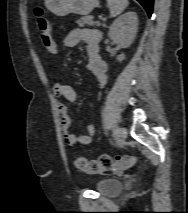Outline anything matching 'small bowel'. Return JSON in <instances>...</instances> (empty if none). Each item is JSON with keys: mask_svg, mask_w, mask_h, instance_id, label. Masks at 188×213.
<instances>
[{"mask_svg": "<svg viewBox=\"0 0 188 213\" xmlns=\"http://www.w3.org/2000/svg\"><path fill=\"white\" fill-rule=\"evenodd\" d=\"M101 34L96 29L91 28H76L70 31L63 39L64 48H72L83 42L86 45L88 55V69L97 79L99 86L103 88L107 83V64L100 56L99 44ZM53 96L57 111L61 115V127L63 139L69 146L76 143L90 144L95 133V126L89 124L86 128V133L80 136L75 135L72 130L71 118L68 115V109L62 99L68 102H75L78 98L75 89L67 84L57 83L53 88Z\"/></svg>", "mask_w": 188, "mask_h": 213, "instance_id": "small-bowel-1", "label": "small bowel"}]
</instances>
